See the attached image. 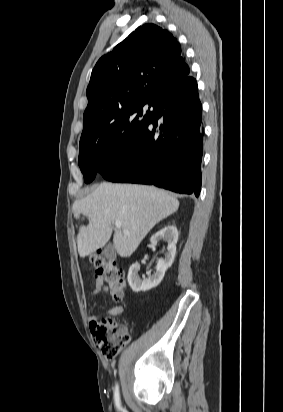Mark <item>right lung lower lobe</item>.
<instances>
[{
	"mask_svg": "<svg viewBox=\"0 0 283 412\" xmlns=\"http://www.w3.org/2000/svg\"><path fill=\"white\" fill-rule=\"evenodd\" d=\"M204 127L196 80L166 93L133 146L99 173L112 182L154 184L199 195Z\"/></svg>",
	"mask_w": 283,
	"mask_h": 412,
	"instance_id": "98d812e1",
	"label": "right lung lower lobe"
}]
</instances>
